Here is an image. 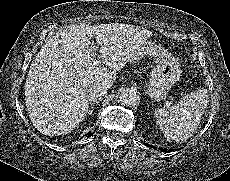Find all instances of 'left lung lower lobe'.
Masks as SVG:
<instances>
[{
    "label": "left lung lower lobe",
    "instance_id": "0a47b994",
    "mask_svg": "<svg viewBox=\"0 0 230 181\" xmlns=\"http://www.w3.org/2000/svg\"><path fill=\"white\" fill-rule=\"evenodd\" d=\"M145 145H147V144H145ZM162 151L166 152L167 150L166 149H162ZM168 152H172V151L168 150Z\"/></svg>",
    "mask_w": 230,
    "mask_h": 181
}]
</instances>
